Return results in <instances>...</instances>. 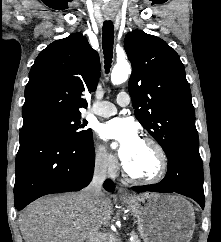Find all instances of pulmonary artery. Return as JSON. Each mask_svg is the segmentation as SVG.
I'll use <instances>...</instances> for the list:
<instances>
[{
    "label": "pulmonary artery",
    "mask_w": 221,
    "mask_h": 242,
    "mask_svg": "<svg viewBox=\"0 0 221 242\" xmlns=\"http://www.w3.org/2000/svg\"><path fill=\"white\" fill-rule=\"evenodd\" d=\"M116 100H117V103L123 107L129 105L130 103V97L126 92H120L117 95ZM116 112H117L116 106L107 101L95 102L91 107V109L89 110L90 114L99 116V117H109L116 114Z\"/></svg>",
    "instance_id": "obj_1"
}]
</instances>
